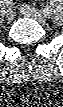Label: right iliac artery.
Instances as JSON below:
<instances>
[{
    "instance_id": "1",
    "label": "right iliac artery",
    "mask_w": 63,
    "mask_h": 107,
    "mask_svg": "<svg viewBox=\"0 0 63 107\" xmlns=\"http://www.w3.org/2000/svg\"><path fill=\"white\" fill-rule=\"evenodd\" d=\"M4 2H5V5H6L9 9H11V7H12V2H11V0H4Z\"/></svg>"
}]
</instances>
